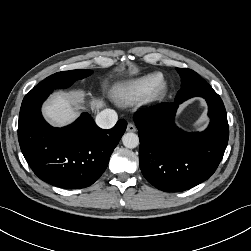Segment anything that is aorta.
<instances>
[{
	"label": "aorta",
	"mask_w": 251,
	"mask_h": 251,
	"mask_svg": "<svg viewBox=\"0 0 251 251\" xmlns=\"http://www.w3.org/2000/svg\"><path fill=\"white\" fill-rule=\"evenodd\" d=\"M122 142L126 148H136L139 145V137L135 133L128 132L123 135Z\"/></svg>",
	"instance_id": "aorta-1"
}]
</instances>
